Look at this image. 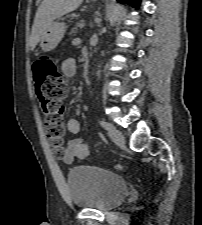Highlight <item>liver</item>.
Wrapping results in <instances>:
<instances>
[{
  "instance_id": "6515ba94",
  "label": "liver",
  "mask_w": 202,
  "mask_h": 225,
  "mask_svg": "<svg viewBox=\"0 0 202 225\" xmlns=\"http://www.w3.org/2000/svg\"><path fill=\"white\" fill-rule=\"evenodd\" d=\"M83 0H43L35 15L30 38L33 50L40 41L44 31L57 18L76 10Z\"/></svg>"
}]
</instances>
